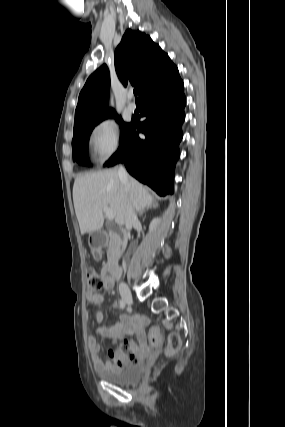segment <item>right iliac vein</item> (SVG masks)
I'll return each instance as SVG.
<instances>
[{
  "instance_id": "right-iliac-vein-1",
  "label": "right iliac vein",
  "mask_w": 285,
  "mask_h": 427,
  "mask_svg": "<svg viewBox=\"0 0 285 427\" xmlns=\"http://www.w3.org/2000/svg\"><path fill=\"white\" fill-rule=\"evenodd\" d=\"M120 295L126 304L130 305L132 303L133 301L132 294L125 283H122L120 285Z\"/></svg>"
}]
</instances>
